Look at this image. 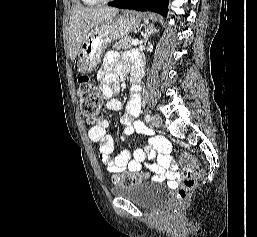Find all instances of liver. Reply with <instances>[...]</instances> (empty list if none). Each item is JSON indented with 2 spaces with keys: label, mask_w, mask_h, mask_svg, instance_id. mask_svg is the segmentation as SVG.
Segmentation results:
<instances>
[{
  "label": "liver",
  "mask_w": 257,
  "mask_h": 237,
  "mask_svg": "<svg viewBox=\"0 0 257 237\" xmlns=\"http://www.w3.org/2000/svg\"><path fill=\"white\" fill-rule=\"evenodd\" d=\"M118 10L115 8H93L76 5L69 19L70 59L73 62L86 35L94 27L110 19Z\"/></svg>",
  "instance_id": "obj_1"
}]
</instances>
